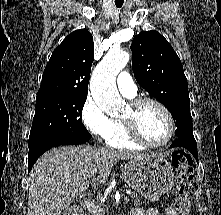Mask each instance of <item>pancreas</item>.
Returning a JSON list of instances; mask_svg holds the SVG:
<instances>
[{
  "label": "pancreas",
  "mask_w": 221,
  "mask_h": 215,
  "mask_svg": "<svg viewBox=\"0 0 221 215\" xmlns=\"http://www.w3.org/2000/svg\"><path fill=\"white\" fill-rule=\"evenodd\" d=\"M129 197L133 200V202L136 205L141 204V199L137 196L136 193L132 192ZM87 215H105V211L102 210L101 212H96L94 210H89V213Z\"/></svg>",
  "instance_id": "obj_1"
}]
</instances>
